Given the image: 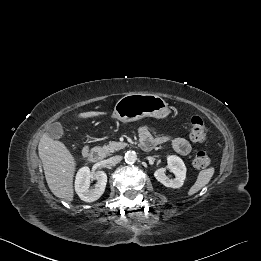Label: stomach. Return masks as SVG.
<instances>
[{"label": "stomach", "mask_w": 261, "mask_h": 261, "mask_svg": "<svg viewBox=\"0 0 261 261\" xmlns=\"http://www.w3.org/2000/svg\"><path fill=\"white\" fill-rule=\"evenodd\" d=\"M170 113L163 98L149 93H129L118 100L114 117L124 123L144 117L165 118Z\"/></svg>", "instance_id": "0dacf381"}]
</instances>
